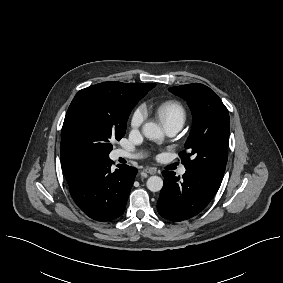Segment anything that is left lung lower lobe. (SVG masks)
Returning a JSON list of instances; mask_svg holds the SVG:
<instances>
[{
  "mask_svg": "<svg viewBox=\"0 0 283 283\" xmlns=\"http://www.w3.org/2000/svg\"><path fill=\"white\" fill-rule=\"evenodd\" d=\"M162 175L164 184L157 210L167 220L183 221L197 215L218 191L188 171L182 178L170 171H163Z\"/></svg>",
  "mask_w": 283,
  "mask_h": 283,
  "instance_id": "obj_1",
  "label": "left lung lower lobe"
}]
</instances>
